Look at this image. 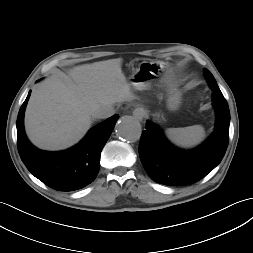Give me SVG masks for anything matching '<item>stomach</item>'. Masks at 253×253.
<instances>
[{"mask_svg": "<svg viewBox=\"0 0 253 253\" xmlns=\"http://www.w3.org/2000/svg\"><path fill=\"white\" fill-rule=\"evenodd\" d=\"M166 64L159 61H144L130 77L131 85L138 90L146 89L152 81L162 72L166 71V77L170 81ZM181 101V93L171 84L168 106L170 109H176Z\"/></svg>", "mask_w": 253, "mask_h": 253, "instance_id": "0dacf381", "label": "stomach"}]
</instances>
